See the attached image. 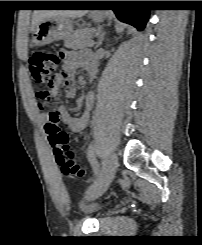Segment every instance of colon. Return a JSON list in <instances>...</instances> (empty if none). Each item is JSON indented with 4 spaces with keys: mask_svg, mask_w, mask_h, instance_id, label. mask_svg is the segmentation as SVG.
Masks as SVG:
<instances>
[{
    "mask_svg": "<svg viewBox=\"0 0 202 245\" xmlns=\"http://www.w3.org/2000/svg\"><path fill=\"white\" fill-rule=\"evenodd\" d=\"M60 56L52 52H36L29 60V70L35 85L41 86L40 98L50 103L58 94L60 80L66 72L58 73ZM45 132L51 139L55 160L66 177H83L84 169L78 164L74 152L68 146V136L59 126V117L51 113L44 124Z\"/></svg>",
    "mask_w": 202,
    "mask_h": 245,
    "instance_id": "obj_1",
    "label": "colon"
}]
</instances>
